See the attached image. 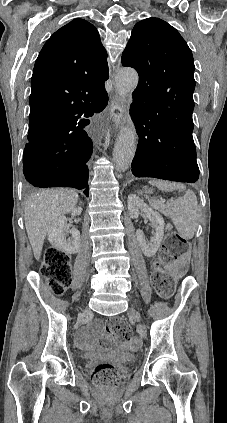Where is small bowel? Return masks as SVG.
I'll list each match as a JSON object with an SVG mask.
<instances>
[{
	"mask_svg": "<svg viewBox=\"0 0 227 423\" xmlns=\"http://www.w3.org/2000/svg\"><path fill=\"white\" fill-rule=\"evenodd\" d=\"M173 269L178 273L183 272L186 269L185 258H183L179 262H177L173 266ZM89 334H90V328H88V327L82 328L78 332L77 337H76V343L78 344V346L86 347L88 345Z\"/></svg>",
	"mask_w": 227,
	"mask_h": 423,
	"instance_id": "c3829d8e",
	"label": "small bowel"
}]
</instances>
